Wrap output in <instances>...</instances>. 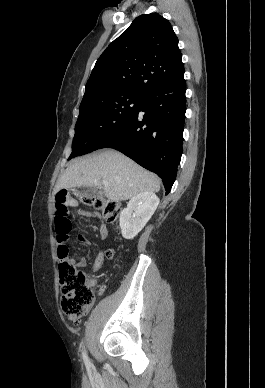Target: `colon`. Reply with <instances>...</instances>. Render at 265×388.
<instances>
[{
    "label": "colon",
    "instance_id": "colon-1",
    "mask_svg": "<svg viewBox=\"0 0 265 388\" xmlns=\"http://www.w3.org/2000/svg\"><path fill=\"white\" fill-rule=\"evenodd\" d=\"M70 195L61 190L56 194L55 230L57 234V257L59 261V281L61 285V306L66 316L78 321L94 300L92 287L86 274L69 262L67 241L72 229L69 219ZM82 202L99 211L105 221L115 222L121 212L120 203L105 197H84ZM111 255L112 253H108Z\"/></svg>",
    "mask_w": 265,
    "mask_h": 388
}]
</instances>
